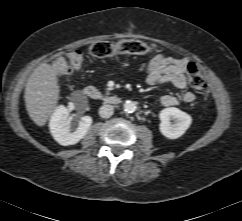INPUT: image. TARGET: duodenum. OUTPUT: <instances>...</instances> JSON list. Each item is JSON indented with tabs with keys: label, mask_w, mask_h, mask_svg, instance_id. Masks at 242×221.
<instances>
[{
	"label": "duodenum",
	"mask_w": 242,
	"mask_h": 221,
	"mask_svg": "<svg viewBox=\"0 0 242 221\" xmlns=\"http://www.w3.org/2000/svg\"><path fill=\"white\" fill-rule=\"evenodd\" d=\"M83 94L95 101H101L110 105H117L119 103V98L115 95L104 94L96 87L87 86L82 90Z\"/></svg>",
	"instance_id": "410a0bca"
}]
</instances>
